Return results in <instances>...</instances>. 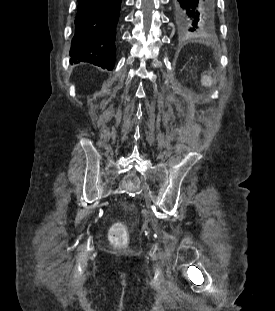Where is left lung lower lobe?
Returning a JSON list of instances; mask_svg holds the SVG:
<instances>
[{
	"label": "left lung lower lobe",
	"mask_w": 275,
	"mask_h": 311,
	"mask_svg": "<svg viewBox=\"0 0 275 311\" xmlns=\"http://www.w3.org/2000/svg\"><path fill=\"white\" fill-rule=\"evenodd\" d=\"M175 23L181 36L214 30L213 0H174Z\"/></svg>",
	"instance_id": "left-lung-lower-lobe-1"
}]
</instances>
